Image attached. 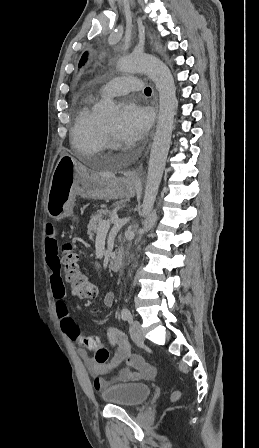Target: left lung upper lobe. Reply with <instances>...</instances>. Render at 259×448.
<instances>
[{
	"label": "left lung upper lobe",
	"mask_w": 259,
	"mask_h": 448,
	"mask_svg": "<svg viewBox=\"0 0 259 448\" xmlns=\"http://www.w3.org/2000/svg\"><path fill=\"white\" fill-rule=\"evenodd\" d=\"M86 60H87V53H84L83 56H82V58H81V60H80L79 67H81L82 65H84V63L86 62Z\"/></svg>",
	"instance_id": "left-lung-upper-lobe-1"
}]
</instances>
